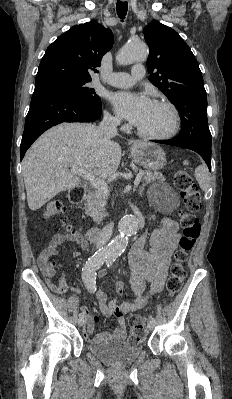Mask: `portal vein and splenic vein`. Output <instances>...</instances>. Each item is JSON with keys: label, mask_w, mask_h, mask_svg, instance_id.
Here are the masks:
<instances>
[{"label": "portal vein and splenic vein", "mask_w": 232, "mask_h": 399, "mask_svg": "<svg viewBox=\"0 0 232 399\" xmlns=\"http://www.w3.org/2000/svg\"><path fill=\"white\" fill-rule=\"evenodd\" d=\"M72 174H78V176H82L84 180H88L94 188H97V190H100V192H103V194H108L109 188L103 180H99L97 176H93V174H89V172H84V170H81V168H71ZM141 178H143V172H139L135 178V184L134 186H138Z\"/></svg>", "instance_id": "obj_1"}]
</instances>
